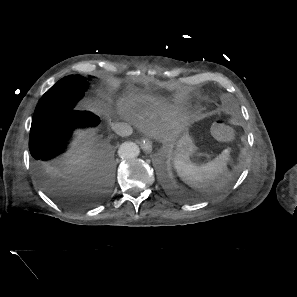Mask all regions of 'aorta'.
<instances>
[{"label":"aorta","mask_w":297,"mask_h":297,"mask_svg":"<svg viewBox=\"0 0 297 297\" xmlns=\"http://www.w3.org/2000/svg\"><path fill=\"white\" fill-rule=\"evenodd\" d=\"M140 149L134 142H124L120 145L118 155L122 159H131L139 155Z\"/></svg>","instance_id":"1"}]
</instances>
